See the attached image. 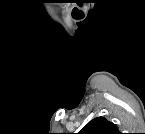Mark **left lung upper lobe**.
Masks as SVG:
<instances>
[{
	"label": "left lung upper lobe",
	"mask_w": 145,
	"mask_h": 134,
	"mask_svg": "<svg viewBox=\"0 0 145 134\" xmlns=\"http://www.w3.org/2000/svg\"><path fill=\"white\" fill-rule=\"evenodd\" d=\"M79 134H119V130L104 117H97L84 126Z\"/></svg>",
	"instance_id": "1"
}]
</instances>
